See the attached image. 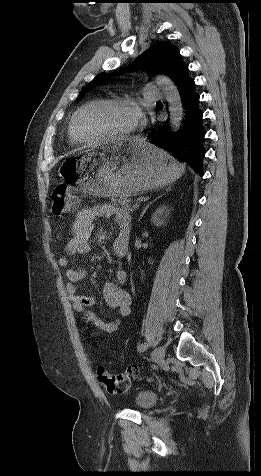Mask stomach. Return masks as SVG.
<instances>
[{"mask_svg":"<svg viewBox=\"0 0 261 476\" xmlns=\"http://www.w3.org/2000/svg\"><path fill=\"white\" fill-rule=\"evenodd\" d=\"M184 173L173 157L137 138L114 144H93L63 161L62 179L82 195L127 198L167 186Z\"/></svg>","mask_w":261,"mask_h":476,"instance_id":"obj_1","label":"stomach"}]
</instances>
